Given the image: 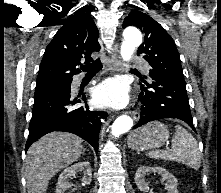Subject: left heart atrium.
I'll return each mask as SVG.
<instances>
[{
	"label": "left heart atrium",
	"mask_w": 221,
	"mask_h": 193,
	"mask_svg": "<svg viewBox=\"0 0 221 193\" xmlns=\"http://www.w3.org/2000/svg\"><path fill=\"white\" fill-rule=\"evenodd\" d=\"M93 98L99 106L123 108L129 102L128 87L120 79H110L95 88Z\"/></svg>",
	"instance_id": "39dd6f15"
}]
</instances>
